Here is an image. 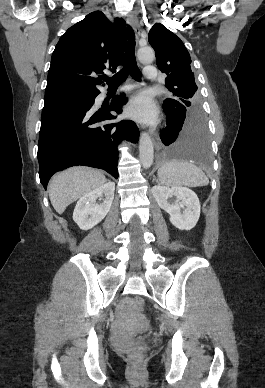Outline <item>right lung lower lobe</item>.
<instances>
[{"label":"right lung lower lobe","instance_id":"1","mask_svg":"<svg viewBox=\"0 0 265 388\" xmlns=\"http://www.w3.org/2000/svg\"><path fill=\"white\" fill-rule=\"evenodd\" d=\"M42 112L38 143L39 177L46 189L57 171L76 165L100 168L118 178V144L138 141L139 130L130 120L107 123L128 101L116 96L109 107L93 111L96 96Z\"/></svg>","mask_w":265,"mask_h":388}]
</instances>
